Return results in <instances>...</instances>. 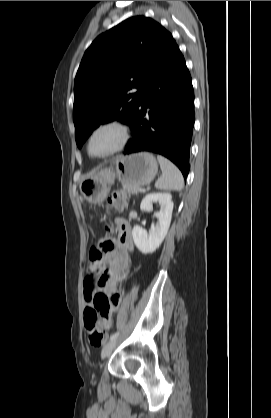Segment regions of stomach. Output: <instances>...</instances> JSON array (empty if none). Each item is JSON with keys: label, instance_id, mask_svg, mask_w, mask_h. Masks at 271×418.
I'll list each match as a JSON object with an SVG mask.
<instances>
[{"label": "stomach", "instance_id": "0dacf381", "mask_svg": "<svg viewBox=\"0 0 271 418\" xmlns=\"http://www.w3.org/2000/svg\"><path fill=\"white\" fill-rule=\"evenodd\" d=\"M158 164L148 152H141L117 159L113 166L102 168L80 183L83 197L93 204L101 203L107 197L116 178L134 185H146L156 176Z\"/></svg>", "mask_w": 271, "mask_h": 418}]
</instances>
